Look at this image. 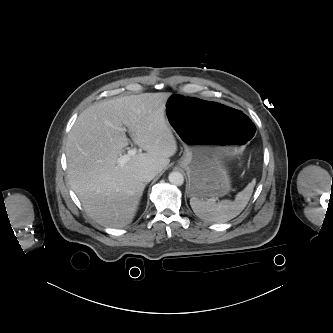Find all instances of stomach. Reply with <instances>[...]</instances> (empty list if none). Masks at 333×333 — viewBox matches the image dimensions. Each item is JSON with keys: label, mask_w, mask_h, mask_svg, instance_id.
<instances>
[{"label": "stomach", "mask_w": 333, "mask_h": 333, "mask_svg": "<svg viewBox=\"0 0 333 333\" xmlns=\"http://www.w3.org/2000/svg\"><path fill=\"white\" fill-rule=\"evenodd\" d=\"M166 120L190 158L188 194L196 198L222 197L231 189L224 159L233 156L255 133L241 109L221 101L171 94Z\"/></svg>", "instance_id": "obj_1"}]
</instances>
